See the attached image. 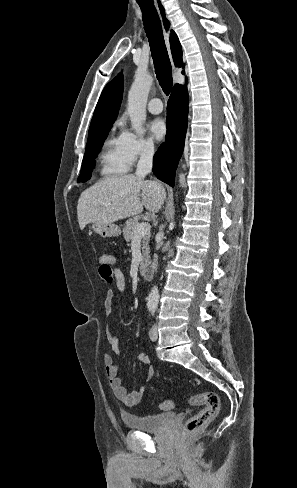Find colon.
<instances>
[{"label":"colon","mask_w":297,"mask_h":488,"mask_svg":"<svg viewBox=\"0 0 297 488\" xmlns=\"http://www.w3.org/2000/svg\"><path fill=\"white\" fill-rule=\"evenodd\" d=\"M111 257L109 254H103L99 258V275L106 281L111 280ZM187 403L194 406H202V409L189 418L185 424V432L193 434L201 431L212 420L216 418L220 410V400L215 392L207 391L187 398ZM174 403L166 401L159 405L163 411L172 410Z\"/></svg>","instance_id":"colon-1"}]
</instances>
